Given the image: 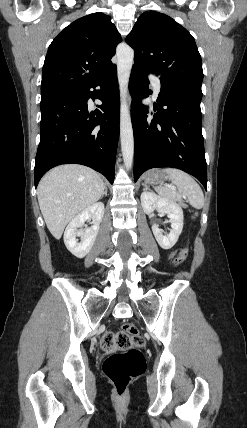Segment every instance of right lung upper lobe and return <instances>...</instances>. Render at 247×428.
I'll return each instance as SVG.
<instances>
[{
  "label": "right lung upper lobe",
  "mask_w": 247,
  "mask_h": 428,
  "mask_svg": "<svg viewBox=\"0 0 247 428\" xmlns=\"http://www.w3.org/2000/svg\"><path fill=\"white\" fill-rule=\"evenodd\" d=\"M122 40L111 18L97 12L67 26L52 41L43 65L41 95L81 90L113 66Z\"/></svg>",
  "instance_id": "obj_1"
}]
</instances>
